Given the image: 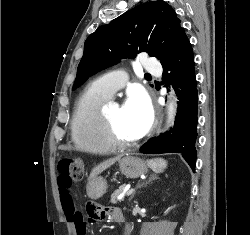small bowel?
Returning <instances> with one entry per match:
<instances>
[{
    "label": "small bowel",
    "mask_w": 250,
    "mask_h": 235,
    "mask_svg": "<svg viewBox=\"0 0 250 235\" xmlns=\"http://www.w3.org/2000/svg\"><path fill=\"white\" fill-rule=\"evenodd\" d=\"M59 196L64 215L69 222H72L74 224L76 232H77V223H81L83 225V228L86 230L87 228L86 222L82 219V217L78 215V213L75 210V204L70 188L64 189L59 186ZM87 210L91 219L93 220L92 222L103 221L107 218H111L116 222L123 221L121 212L115 207H96L95 205L90 204ZM129 231H130L129 226H126L127 235Z\"/></svg>",
    "instance_id": "obj_1"
}]
</instances>
